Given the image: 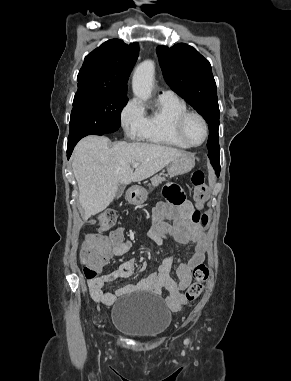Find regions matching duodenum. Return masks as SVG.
<instances>
[{
	"label": "duodenum",
	"instance_id": "1",
	"mask_svg": "<svg viewBox=\"0 0 291 381\" xmlns=\"http://www.w3.org/2000/svg\"><path fill=\"white\" fill-rule=\"evenodd\" d=\"M135 193H136V190H135L134 188H130V189L128 190V194H129L130 197L134 196Z\"/></svg>",
	"mask_w": 291,
	"mask_h": 381
}]
</instances>
